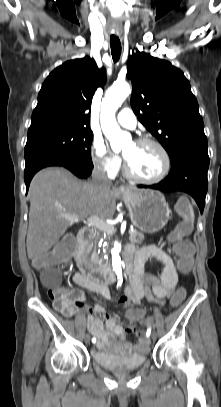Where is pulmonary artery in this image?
I'll use <instances>...</instances> for the list:
<instances>
[{
    "label": "pulmonary artery",
    "instance_id": "e3ab8cb5",
    "mask_svg": "<svg viewBox=\"0 0 221 407\" xmlns=\"http://www.w3.org/2000/svg\"><path fill=\"white\" fill-rule=\"evenodd\" d=\"M117 122L125 128L134 129L137 120L131 109L124 108L117 115Z\"/></svg>",
    "mask_w": 221,
    "mask_h": 407
}]
</instances>
